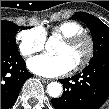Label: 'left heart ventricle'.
<instances>
[{
	"mask_svg": "<svg viewBox=\"0 0 109 109\" xmlns=\"http://www.w3.org/2000/svg\"><path fill=\"white\" fill-rule=\"evenodd\" d=\"M87 50L88 45L86 40H81L74 45H67L64 42H61L56 53L65 55L73 64V66H76L84 59Z\"/></svg>",
	"mask_w": 109,
	"mask_h": 109,
	"instance_id": "b2bd125f",
	"label": "left heart ventricle"
}]
</instances>
